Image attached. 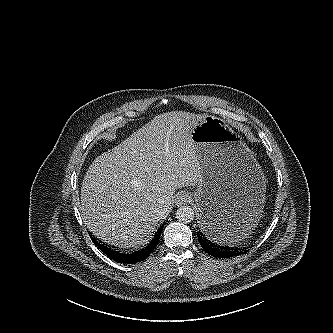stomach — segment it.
I'll return each mask as SVG.
<instances>
[{
  "label": "stomach",
  "instance_id": "1",
  "mask_svg": "<svg viewBox=\"0 0 333 333\" xmlns=\"http://www.w3.org/2000/svg\"><path fill=\"white\" fill-rule=\"evenodd\" d=\"M191 139L201 173L194 192L201 228L221 243H239L262 215L264 173L240 135L218 117L197 121Z\"/></svg>",
  "mask_w": 333,
  "mask_h": 333
}]
</instances>
